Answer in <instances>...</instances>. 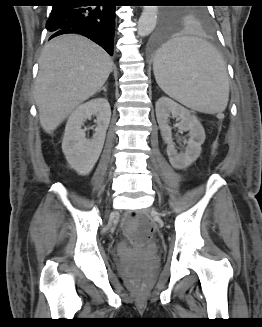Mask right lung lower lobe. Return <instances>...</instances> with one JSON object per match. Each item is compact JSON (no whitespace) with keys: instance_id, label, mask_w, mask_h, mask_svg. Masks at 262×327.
I'll return each mask as SVG.
<instances>
[{"instance_id":"1","label":"right lung lower lobe","mask_w":262,"mask_h":327,"mask_svg":"<svg viewBox=\"0 0 262 327\" xmlns=\"http://www.w3.org/2000/svg\"><path fill=\"white\" fill-rule=\"evenodd\" d=\"M46 28L55 36L75 33L90 38L113 55L115 6H81L78 0H55Z\"/></svg>"}]
</instances>
